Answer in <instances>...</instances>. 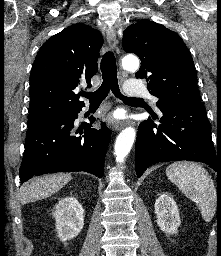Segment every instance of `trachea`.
Returning <instances> with one entry per match:
<instances>
[{"instance_id":"3493384b","label":"trachea","mask_w":221,"mask_h":256,"mask_svg":"<svg viewBox=\"0 0 221 256\" xmlns=\"http://www.w3.org/2000/svg\"><path fill=\"white\" fill-rule=\"evenodd\" d=\"M101 72L103 82L98 90L95 92H82L81 95L91 103H97L103 101L109 91L124 102L140 101V98L125 97L121 94L117 79V66L115 56L111 51L106 52L101 59Z\"/></svg>"}]
</instances>
